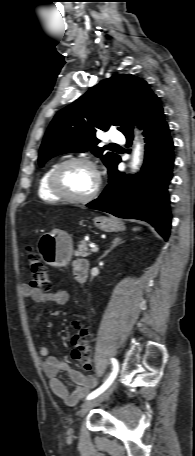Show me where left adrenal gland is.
Returning a JSON list of instances; mask_svg holds the SVG:
<instances>
[{
	"label": "left adrenal gland",
	"mask_w": 195,
	"mask_h": 456,
	"mask_svg": "<svg viewBox=\"0 0 195 456\" xmlns=\"http://www.w3.org/2000/svg\"><path fill=\"white\" fill-rule=\"evenodd\" d=\"M122 243H124V241L121 238H119V237L114 238L111 242V246L109 247V249H107L101 257H99V260L102 259L103 257H105L110 251H112V249H114L116 246H118Z\"/></svg>",
	"instance_id": "1"
}]
</instances>
